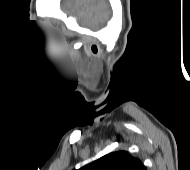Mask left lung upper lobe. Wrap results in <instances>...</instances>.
I'll return each mask as SVG.
<instances>
[{"label":"left lung upper lobe","instance_id":"left-lung-upper-lobe-1","mask_svg":"<svg viewBox=\"0 0 190 170\" xmlns=\"http://www.w3.org/2000/svg\"><path fill=\"white\" fill-rule=\"evenodd\" d=\"M79 170H146L142 162L127 151L109 153Z\"/></svg>","mask_w":190,"mask_h":170}]
</instances>
